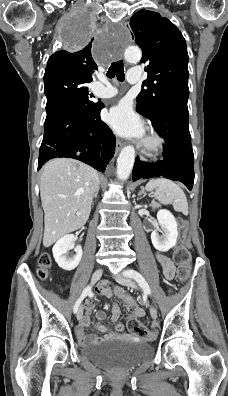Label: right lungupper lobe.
Instances as JSON below:
<instances>
[{
    "label": "right lung upper lobe",
    "mask_w": 228,
    "mask_h": 396,
    "mask_svg": "<svg viewBox=\"0 0 228 396\" xmlns=\"http://www.w3.org/2000/svg\"><path fill=\"white\" fill-rule=\"evenodd\" d=\"M91 50L92 41L75 52L66 50L56 52L48 60L44 77L73 75L92 81V74L98 67L93 60Z\"/></svg>",
    "instance_id": "1"
}]
</instances>
